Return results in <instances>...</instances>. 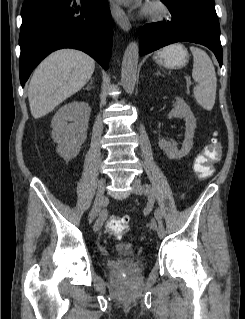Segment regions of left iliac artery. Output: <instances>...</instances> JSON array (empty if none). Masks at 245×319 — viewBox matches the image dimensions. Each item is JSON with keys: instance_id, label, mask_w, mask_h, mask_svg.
Here are the masks:
<instances>
[{"instance_id": "44dca946", "label": "left iliac artery", "mask_w": 245, "mask_h": 319, "mask_svg": "<svg viewBox=\"0 0 245 319\" xmlns=\"http://www.w3.org/2000/svg\"><path fill=\"white\" fill-rule=\"evenodd\" d=\"M146 191H147V193L149 194L150 199H154V197H153V195H152V193H151V188H150V186L146 185ZM155 217H156V219L158 220V223H159V228H158L159 231H160L163 235H165V229H164V226L162 225V213H161V211H160L159 208H157V209L155 210Z\"/></svg>"}]
</instances>
